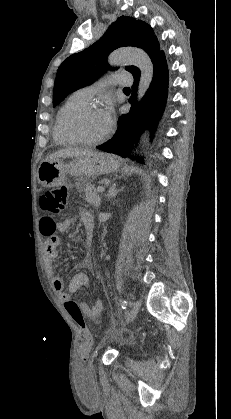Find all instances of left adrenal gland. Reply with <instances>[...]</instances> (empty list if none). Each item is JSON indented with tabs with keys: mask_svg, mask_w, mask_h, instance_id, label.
Here are the masks:
<instances>
[{
	"mask_svg": "<svg viewBox=\"0 0 231 419\" xmlns=\"http://www.w3.org/2000/svg\"><path fill=\"white\" fill-rule=\"evenodd\" d=\"M119 190L116 189V184H113L108 192V199L114 198L118 194Z\"/></svg>",
	"mask_w": 231,
	"mask_h": 419,
	"instance_id": "left-adrenal-gland-1",
	"label": "left adrenal gland"
}]
</instances>
